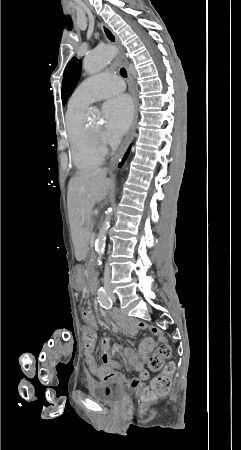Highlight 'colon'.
I'll return each instance as SVG.
<instances>
[{"label": "colon", "mask_w": 241, "mask_h": 450, "mask_svg": "<svg viewBox=\"0 0 241 450\" xmlns=\"http://www.w3.org/2000/svg\"><path fill=\"white\" fill-rule=\"evenodd\" d=\"M98 344V337L93 335L91 328L79 331V345L84 347V351H93V348ZM170 349L167 345H160L157 352L153 356V371H158L162 368L163 361L169 357ZM174 370V365L170 362L165 365L163 373L146 387H144L139 395V403L141 405H149L164 397L170 388V372Z\"/></svg>", "instance_id": "obj_1"}]
</instances>
